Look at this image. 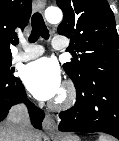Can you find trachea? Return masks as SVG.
I'll use <instances>...</instances> for the list:
<instances>
[{
  "label": "trachea",
  "mask_w": 119,
  "mask_h": 141,
  "mask_svg": "<svg viewBox=\"0 0 119 141\" xmlns=\"http://www.w3.org/2000/svg\"><path fill=\"white\" fill-rule=\"evenodd\" d=\"M31 25H32V32L29 37V41L31 43L36 42L40 36H42L44 39L49 38V31L40 13L36 12L33 14L31 18ZM17 43L18 41L16 42V44Z\"/></svg>",
  "instance_id": "1"
}]
</instances>
